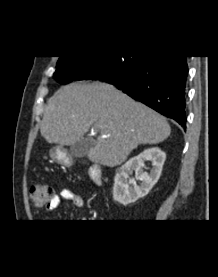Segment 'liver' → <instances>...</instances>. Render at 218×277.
<instances>
[{"label":"liver","mask_w":218,"mask_h":277,"mask_svg":"<svg viewBox=\"0 0 218 277\" xmlns=\"http://www.w3.org/2000/svg\"><path fill=\"white\" fill-rule=\"evenodd\" d=\"M91 126L99 136L87 156L108 167L122 164L140 144L163 142L171 132L163 116L101 82L59 89L46 106L40 132L48 143L68 146Z\"/></svg>","instance_id":"liver-1"}]
</instances>
